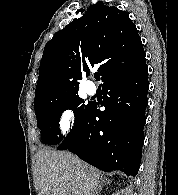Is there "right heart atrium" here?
<instances>
[{"instance_id":"obj_1","label":"right heart atrium","mask_w":178,"mask_h":195,"mask_svg":"<svg viewBox=\"0 0 178 195\" xmlns=\"http://www.w3.org/2000/svg\"><path fill=\"white\" fill-rule=\"evenodd\" d=\"M58 126L62 135L73 131L76 126V112L73 107H66L60 112Z\"/></svg>"}]
</instances>
